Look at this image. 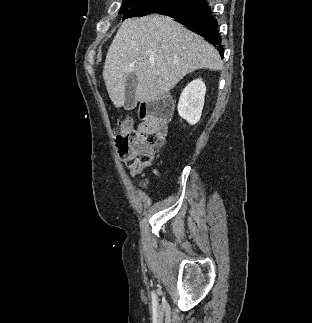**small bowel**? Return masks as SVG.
Instances as JSON below:
<instances>
[{
    "instance_id": "1",
    "label": "small bowel",
    "mask_w": 312,
    "mask_h": 323,
    "mask_svg": "<svg viewBox=\"0 0 312 323\" xmlns=\"http://www.w3.org/2000/svg\"><path fill=\"white\" fill-rule=\"evenodd\" d=\"M155 173H157V170H154ZM149 186V180H144L140 183V189L146 190Z\"/></svg>"
}]
</instances>
